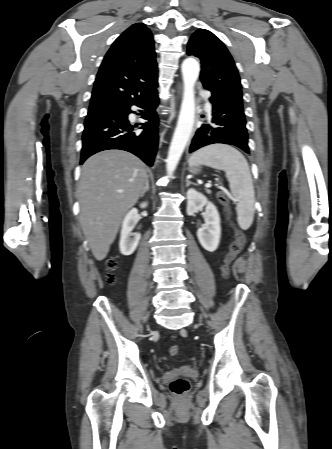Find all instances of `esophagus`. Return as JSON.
I'll return each mask as SVG.
<instances>
[{"mask_svg":"<svg viewBox=\"0 0 332 449\" xmlns=\"http://www.w3.org/2000/svg\"><path fill=\"white\" fill-rule=\"evenodd\" d=\"M177 87H178V92L181 93V84L179 83Z\"/></svg>","mask_w":332,"mask_h":449,"instance_id":"esophagus-1","label":"esophagus"}]
</instances>
